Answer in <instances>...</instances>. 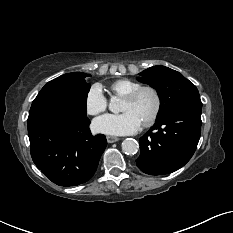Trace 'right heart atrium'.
<instances>
[{
  "label": "right heart atrium",
  "mask_w": 233,
  "mask_h": 233,
  "mask_svg": "<svg viewBox=\"0 0 233 233\" xmlns=\"http://www.w3.org/2000/svg\"><path fill=\"white\" fill-rule=\"evenodd\" d=\"M107 99L99 84H93L85 97V108L88 114L97 115L107 108Z\"/></svg>",
  "instance_id": "1"
}]
</instances>
